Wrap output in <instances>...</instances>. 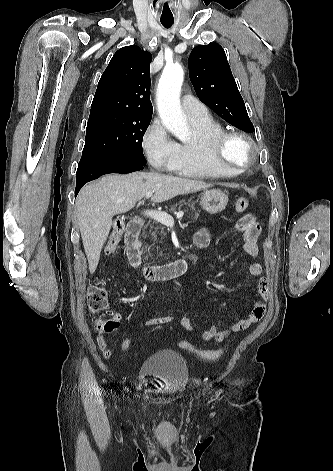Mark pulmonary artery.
Masks as SVG:
<instances>
[{
  "instance_id": "1",
  "label": "pulmonary artery",
  "mask_w": 333,
  "mask_h": 471,
  "mask_svg": "<svg viewBox=\"0 0 333 471\" xmlns=\"http://www.w3.org/2000/svg\"><path fill=\"white\" fill-rule=\"evenodd\" d=\"M182 107L189 119H199L208 114L207 107L200 100L191 95L183 96Z\"/></svg>"
}]
</instances>
